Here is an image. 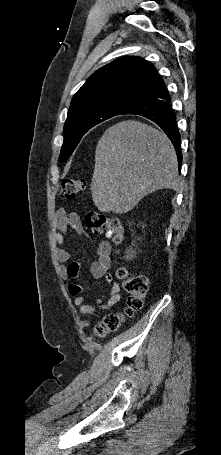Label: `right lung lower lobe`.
Instances as JSON below:
<instances>
[{
	"instance_id": "1",
	"label": "right lung lower lobe",
	"mask_w": 221,
	"mask_h": 455,
	"mask_svg": "<svg viewBox=\"0 0 221 455\" xmlns=\"http://www.w3.org/2000/svg\"><path fill=\"white\" fill-rule=\"evenodd\" d=\"M170 101L171 99L164 87V82L162 79H159L145 97L124 109L121 114L141 115L155 122L173 143L180 166L182 161L180 149L181 137Z\"/></svg>"
}]
</instances>
